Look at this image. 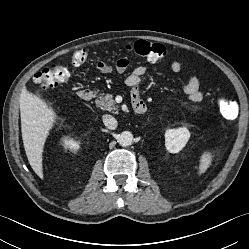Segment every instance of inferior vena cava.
<instances>
[{"label": "inferior vena cava", "mask_w": 249, "mask_h": 249, "mask_svg": "<svg viewBox=\"0 0 249 249\" xmlns=\"http://www.w3.org/2000/svg\"><path fill=\"white\" fill-rule=\"evenodd\" d=\"M104 125L111 130H114L117 128V120L108 114L103 115L102 117Z\"/></svg>", "instance_id": "602c4592"}]
</instances>
